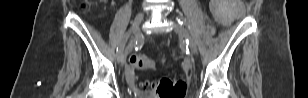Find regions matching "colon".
Listing matches in <instances>:
<instances>
[{"label":"colon","instance_id":"colon-1","mask_svg":"<svg viewBox=\"0 0 308 98\" xmlns=\"http://www.w3.org/2000/svg\"><path fill=\"white\" fill-rule=\"evenodd\" d=\"M130 63L136 69H150L155 65L152 59L143 55H132ZM153 87L160 98H181L186 92L187 84L183 80L162 79Z\"/></svg>","mask_w":308,"mask_h":98}]
</instances>
